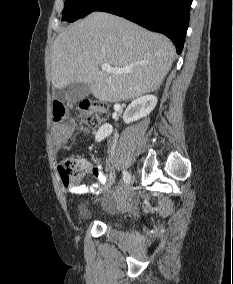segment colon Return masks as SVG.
Segmentation results:
<instances>
[{
    "label": "colon",
    "instance_id": "colon-1",
    "mask_svg": "<svg viewBox=\"0 0 233 284\" xmlns=\"http://www.w3.org/2000/svg\"><path fill=\"white\" fill-rule=\"evenodd\" d=\"M78 109L83 114L84 123L91 127H98L106 120L109 114L108 106L99 100L86 99L78 103ZM67 109L60 101L53 104V116L55 121L64 119ZM58 171L65 186H71L79 179L81 173L73 159L63 157L58 165Z\"/></svg>",
    "mask_w": 233,
    "mask_h": 284
}]
</instances>
